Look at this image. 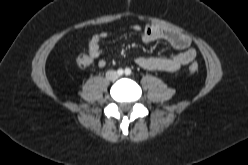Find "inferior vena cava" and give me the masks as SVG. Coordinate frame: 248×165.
<instances>
[{
	"mask_svg": "<svg viewBox=\"0 0 248 165\" xmlns=\"http://www.w3.org/2000/svg\"><path fill=\"white\" fill-rule=\"evenodd\" d=\"M106 78L114 81L118 78V74L116 71L110 70L106 73Z\"/></svg>",
	"mask_w": 248,
	"mask_h": 165,
	"instance_id": "obj_1",
	"label": "inferior vena cava"
}]
</instances>
